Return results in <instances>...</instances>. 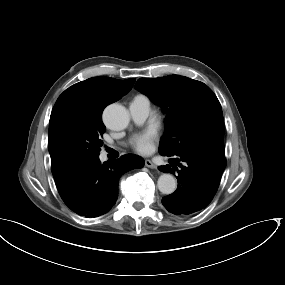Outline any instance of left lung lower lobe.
Here are the masks:
<instances>
[{
  "label": "left lung lower lobe",
  "instance_id": "left-lung-lower-lobe-1",
  "mask_svg": "<svg viewBox=\"0 0 285 285\" xmlns=\"http://www.w3.org/2000/svg\"><path fill=\"white\" fill-rule=\"evenodd\" d=\"M225 167L226 159L219 154L197 151L177 155L170 160V165L158 167L162 172L175 175L177 171L178 174L176 191L163 197L162 204L175 215H191L206 208L218 189Z\"/></svg>",
  "mask_w": 285,
  "mask_h": 285
}]
</instances>
